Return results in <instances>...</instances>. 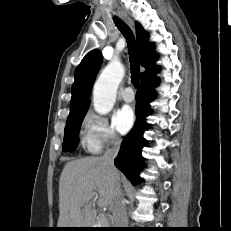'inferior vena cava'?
Masks as SVG:
<instances>
[{"label": "inferior vena cava", "mask_w": 231, "mask_h": 231, "mask_svg": "<svg viewBox=\"0 0 231 231\" xmlns=\"http://www.w3.org/2000/svg\"><path fill=\"white\" fill-rule=\"evenodd\" d=\"M120 145L121 138L119 136H115L112 141V147L108 149L102 156V160L111 174H114L116 172L114 159L119 152ZM113 219L115 228H125L128 224V218L125 209V200L120 188V183L117 179L114 180Z\"/></svg>", "instance_id": "1"}]
</instances>
